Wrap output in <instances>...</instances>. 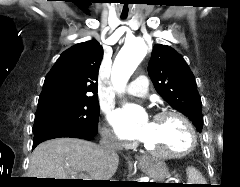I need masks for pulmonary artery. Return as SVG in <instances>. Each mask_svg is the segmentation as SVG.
Wrapping results in <instances>:
<instances>
[{
	"instance_id": "e3ab8cb5",
	"label": "pulmonary artery",
	"mask_w": 240,
	"mask_h": 187,
	"mask_svg": "<svg viewBox=\"0 0 240 187\" xmlns=\"http://www.w3.org/2000/svg\"><path fill=\"white\" fill-rule=\"evenodd\" d=\"M126 93L130 96L145 97L148 95V79L146 76H139L126 88Z\"/></svg>"
}]
</instances>
